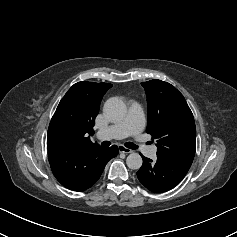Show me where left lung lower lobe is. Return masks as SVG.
Here are the masks:
<instances>
[{"instance_id":"1","label":"left lung lower lobe","mask_w":237,"mask_h":237,"mask_svg":"<svg viewBox=\"0 0 237 237\" xmlns=\"http://www.w3.org/2000/svg\"><path fill=\"white\" fill-rule=\"evenodd\" d=\"M143 158L137 172L139 181L150 191L160 193L175 187L186 175L190 166L157 156L156 161Z\"/></svg>"}]
</instances>
